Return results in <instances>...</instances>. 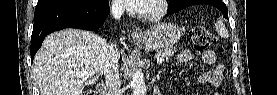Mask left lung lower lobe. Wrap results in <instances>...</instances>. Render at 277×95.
<instances>
[{
    "label": "left lung lower lobe",
    "instance_id": "0a47b994",
    "mask_svg": "<svg viewBox=\"0 0 277 95\" xmlns=\"http://www.w3.org/2000/svg\"><path fill=\"white\" fill-rule=\"evenodd\" d=\"M197 4H208L217 7L223 15L228 19V11L226 5L222 2V0H185L181 4L174 6L168 10L167 15L173 14L183 8L197 5Z\"/></svg>",
    "mask_w": 277,
    "mask_h": 95
}]
</instances>
